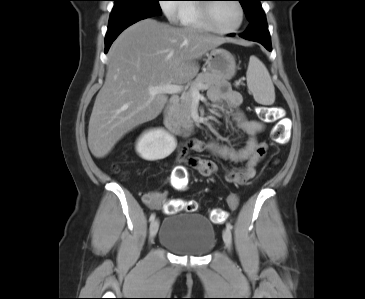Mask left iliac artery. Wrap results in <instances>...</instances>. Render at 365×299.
<instances>
[{"mask_svg": "<svg viewBox=\"0 0 365 299\" xmlns=\"http://www.w3.org/2000/svg\"><path fill=\"white\" fill-rule=\"evenodd\" d=\"M226 227H227V229H229V230H232V228H233V226H232V224H231V223H227V224H226Z\"/></svg>", "mask_w": 365, "mask_h": 299, "instance_id": "left-iliac-artery-1", "label": "left iliac artery"}]
</instances>
